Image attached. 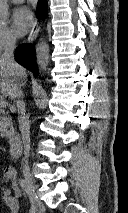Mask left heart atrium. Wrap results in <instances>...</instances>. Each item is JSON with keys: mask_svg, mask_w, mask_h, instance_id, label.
<instances>
[{"mask_svg": "<svg viewBox=\"0 0 128 213\" xmlns=\"http://www.w3.org/2000/svg\"><path fill=\"white\" fill-rule=\"evenodd\" d=\"M12 27L18 36H24L33 24V15L27 7H18L12 12Z\"/></svg>", "mask_w": 128, "mask_h": 213, "instance_id": "obj_1", "label": "left heart atrium"}]
</instances>
